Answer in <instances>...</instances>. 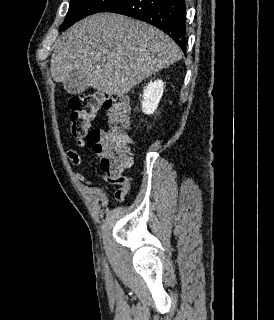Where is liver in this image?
<instances>
[{
	"label": "liver",
	"instance_id": "1",
	"mask_svg": "<svg viewBox=\"0 0 274 320\" xmlns=\"http://www.w3.org/2000/svg\"><path fill=\"white\" fill-rule=\"evenodd\" d=\"M51 76L66 92L90 86L124 96L142 80L172 66L182 52L164 32L120 14H93L63 32L52 46Z\"/></svg>",
	"mask_w": 274,
	"mask_h": 320
}]
</instances>
